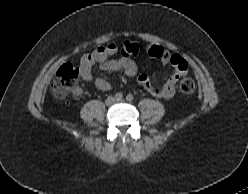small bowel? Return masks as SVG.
I'll use <instances>...</instances> for the list:
<instances>
[{
  "label": "small bowel",
  "mask_w": 248,
  "mask_h": 194,
  "mask_svg": "<svg viewBox=\"0 0 248 194\" xmlns=\"http://www.w3.org/2000/svg\"><path fill=\"white\" fill-rule=\"evenodd\" d=\"M121 52V56L111 59V56ZM140 46L135 43L126 42L121 48L115 44L100 46L92 52L82 56L79 64V72L81 78L86 82H94L95 86L101 91H107L111 88V84L102 77H94L92 67L98 64L101 72H123L128 76L137 74V66L131 59V56L139 53ZM147 55L162 60L164 67L171 70V74L166 82L161 86L151 84L149 78L145 74L138 76V83L147 90L153 97L161 99H169L175 93V87L178 80L187 71V62L179 55H171L162 47L157 45H148L145 48ZM82 91L77 88L74 94L80 96Z\"/></svg>",
  "instance_id": "c3829d8e"
}]
</instances>
